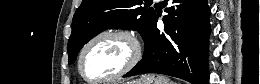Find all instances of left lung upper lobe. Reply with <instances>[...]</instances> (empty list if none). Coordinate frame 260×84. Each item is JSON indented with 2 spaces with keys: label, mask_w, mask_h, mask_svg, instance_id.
Listing matches in <instances>:
<instances>
[{
  "label": "left lung upper lobe",
  "mask_w": 260,
  "mask_h": 84,
  "mask_svg": "<svg viewBox=\"0 0 260 84\" xmlns=\"http://www.w3.org/2000/svg\"><path fill=\"white\" fill-rule=\"evenodd\" d=\"M142 4V0H83L72 20L69 63L75 61L84 44L108 28L136 30L145 41L156 13L139 6Z\"/></svg>",
  "instance_id": "5c2ea615"
}]
</instances>
